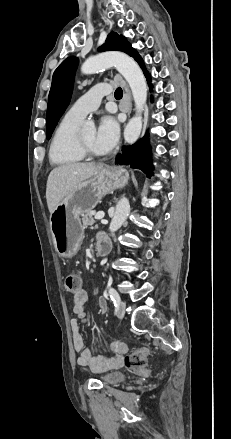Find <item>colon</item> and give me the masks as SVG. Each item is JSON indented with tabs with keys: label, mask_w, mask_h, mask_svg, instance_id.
Returning <instances> with one entry per match:
<instances>
[{
	"label": "colon",
	"mask_w": 231,
	"mask_h": 439,
	"mask_svg": "<svg viewBox=\"0 0 231 439\" xmlns=\"http://www.w3.org/2000/svg\"><path fill=\"white\" fill-rule=\"evenodd\" d=\"M78 286H84V281L81 276H78L77 271H72L71 275L67 276L65 280V288L71 295H76ZM150 353L149 348H140L133 351L125 357V366L138 374H148L147 357Z\"/></svg>",
	"instance_id": "5ec220e1"
}]
</instances>
